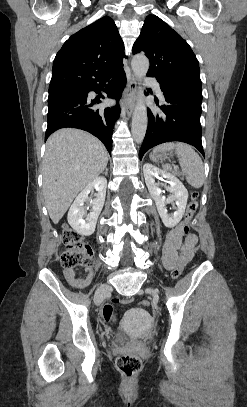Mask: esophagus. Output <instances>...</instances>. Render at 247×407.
<instances>
[{"label": "esophagus", "instance_id": "1", "mask_svg": "<svg viewBox=\"0 0 247 407\" xmlns=\"http://www.w3.org/2000/svg\"><path fill=\"white\" fill-rule=\"evenodd\" d=\"M136 91H137L136 77L133 74H131L130 78L128 79L127 87L124 91L122 102L123 110L128 116H131L134 111Z\"/></svg>", "mask_w": 247, "mask_h": 407}]
</instances>
